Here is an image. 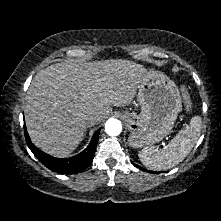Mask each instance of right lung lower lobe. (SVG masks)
Here are the masks:
<instances>
[{
	"instance_id": "right-lung-lower-lobe-1",
	"label": "right lung lower lobe",
	"mask_w": 221,
	"mask_h": 221,
	"mask_svg": "<svg viewBox=\"0 0 221 221\" xmlns=\"http://www.w3.org/2000/svg\"><path fill=\"white\" fill-rule=\"evenodd\" d=\"M100 129L92 137L88 147L76 156L70 158H55L40 151L30 140L24 125V134L28 147L36 158L47 168L60 174H76L85 170L92 162L98 143Z\"/></svg>"
}]
</instances>
